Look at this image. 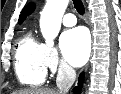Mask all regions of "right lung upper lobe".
I'll return each mask as SVG.
<instances>
[{
    "label": "right lung upper lobe",
    "instance_id": "right-lung-upper-lobe-1",
    "mask_svg": "<svg viewBox=\"0 0 121 94\" xmlns=\"http://www.w3.org/2000/svg\"><path fill=\"white\" fill-rule=\"evenodd\" d=\"M35 9V4L34 3H29L24 9L21 11V14L19 16V23H22L26 16L31 14Z\"/></svg>",
    "mask_w": 121,
    "mask_h": 94
}]
</instances>
